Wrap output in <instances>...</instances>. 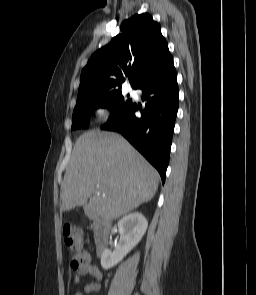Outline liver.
<instances>
[{"instance_id":"liver-1","label":"liver","mask_w":256,"mask_h":295,"mask_svg":"<svg viewBox=\"0 0 256 295\" xmlns=\"http://www.w3.org/2000/svg\"><path fill=\"white\" fill-rule=\"evenodd\" d=\"M160 176L127 140L91 130L74 145L61 186V210L89 205L106 220L118 219L150 201Z\"/></svg>"}]
</instances>
